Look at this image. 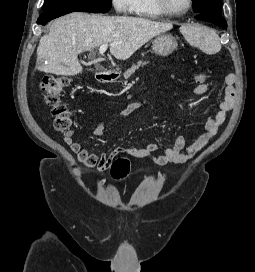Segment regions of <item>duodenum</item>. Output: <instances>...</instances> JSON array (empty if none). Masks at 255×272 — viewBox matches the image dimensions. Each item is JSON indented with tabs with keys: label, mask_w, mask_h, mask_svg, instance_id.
Wrapping results in <instances>:
<instances>
[{
	"label": "duodenum",
	"mask_w": 255,
	"mask_h": 272,
	"mask_svg": "<svg viewBox=\"0 0 255 272\" xmlns=\"http://www.w3.org/2000/svg\"><path fill=\"white\" fill-rule=\"evenodd\" d=\"M118 74L114 70L109 69H99L96 72V79L102 84L110 83L117 78Z\"/></svg>",
	"instance_id": "410a0bca"
}]
</instances>
